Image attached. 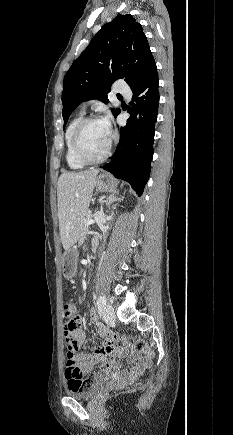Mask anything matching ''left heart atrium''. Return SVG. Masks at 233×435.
I'll return each instance as SVG.
<instances>
[{
	"label": "left heart atrium",
	"mask_w": 233,
	"mask_h": 435,
	"mask_svg": "<svg viewBox=\"0 0 233 435\" xmlns=\"http://www.w3.org/2000/svg\"><path fill=\"white\" fill-rule=\"evenodd\" d=\"M102 122L104 123L106 129L111 133V123L109 117H105L102 119Z\"/></svg>",
	"instance_id": "1"
}]
</instances>
